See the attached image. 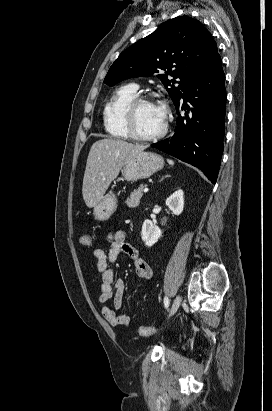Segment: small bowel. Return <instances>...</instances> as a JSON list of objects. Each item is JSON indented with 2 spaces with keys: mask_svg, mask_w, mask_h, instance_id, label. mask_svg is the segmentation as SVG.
<instances>
[{
  "mask_svg": "<svg viewBox=\"0 0 272 411\" xmlns=\"http://www.w3.org/2000/svg\"><path fill=\"white\" fill-rule=\"evenodd\" d=\"M109 246L107 250L96 248L93 256L101 277L100 294L98 301L100 312L105 321L113 327H129L132 324L131 316L125 312L122 304V294L125 288L123 280H115L111 265L117 260L119 254L129 256L134 262L137 276L142 280H150L153 269L148 261L143 259L138 250L126 242V233L117 231L108 235ZM114 296V308L107 302ZM119 312V313H117Z\"/></svg>",
  "mask_w": 272,
  "mask_h": 411,
  "instance_id": "obj_1",
  "label": "small bowel"
}]
</instances>
